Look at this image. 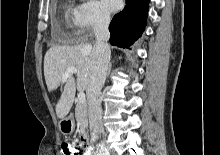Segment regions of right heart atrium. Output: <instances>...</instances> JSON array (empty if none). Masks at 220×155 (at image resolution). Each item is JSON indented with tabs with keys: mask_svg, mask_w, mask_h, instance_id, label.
Listing matches in <instances>:
<instances>
[{
	"mask_svg": "<svg viewBox=\"0 0 220 155\" xmlns=\"http://www.w3.org/2000/svg\"><path fill=\"white\" fill-rule=\"evenodd\" d=\"M109 23V13L97 0H85L76 7L75 26L80 34L104 29Z\"/></svg>",
	"mask_w": 220,
	"mask_h": 155,
	"instance_id": "obj_1",
	"label": "right heart atrium"
}]
</instances>
